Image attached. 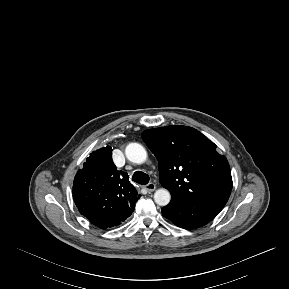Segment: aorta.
Segmentation results:
<instances>
[{
  "mask_svg": "<svg viewBox=\"0 0 289 289\" xmlns=\"http://www.w3.org/2000/svg\"><path fill=\"white\" fill-rule=\"evenodd\" d=\"M125 154L128 160L136 164H142L147 159L145 148L139 143H130L125 149ZM171 199L170 192L167 189L161 188L155 191L154 201L160 206H166Z\"/></svg>",
  "mask_w": 289,
  "mask_h": 289,
  "instance_id": "1",
  "label": "aorta"
}]
</instances>
